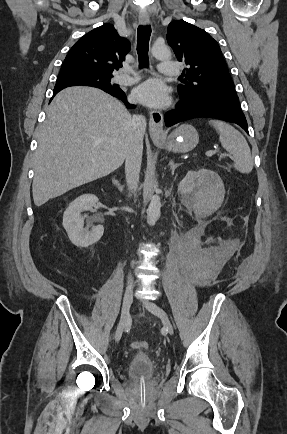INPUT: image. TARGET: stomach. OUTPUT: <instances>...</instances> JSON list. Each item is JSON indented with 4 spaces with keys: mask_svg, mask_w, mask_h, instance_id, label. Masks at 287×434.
Returning a JSON list of instances; mask_svg holds the SVG:
<instances>
[{
    "mask_svg": "<svg viewBox=\"0 0 287 434\" xmlns=\"http://www.w3.org/2000/svg\"><path fill=\"white\" fill-rule=\"evenodd\" d=\"M156 145H162L170 152L185 153L191 151L199 142V136L194 127L183 124L175 129L166 140L153 139Z\"/></svg>",
    "mask_w": 287,
    "mask_h": 434,
    "instance_id": "stomach-1",
    "label": "stomach"
}]
</instances>
